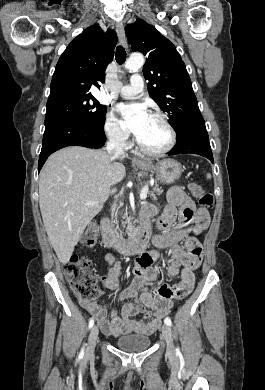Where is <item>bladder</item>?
Instances as JSON below:
<instances>
[{"instance_id":"1","label":"bladder","mask_w":265,"mask_h":390,"mask_svg":"<svg viewBox=\"0 0 265 390\" xmlns=\"http://www.w3.org/2000/svg\"><path fill=\"white\" fill-rule=\"evenodd\" d=\"M150 344V337L145 335H126L115 339L116 347L125 352H141L146 350Z\"/></svg>"}]
</instances>
